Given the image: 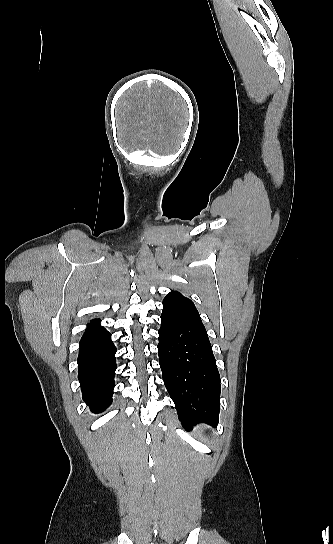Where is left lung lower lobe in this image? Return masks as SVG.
<instances>
[{"mask_svg":"<svg viewBox=\"0 0 333 544\" xmlns=\"http://www.w3.org/2000/svg\"><path fill=\"white\" fill-rule=\"evenodd\" d=\"M159 364L164 384L186 429L218 424L220 375L212 347L194 303L181 293L163 300Z\"/></svg>","mask_w":333,"mask_h":544,"instance_id":"1","label":"left lung lower lobe"}]
</instances>
